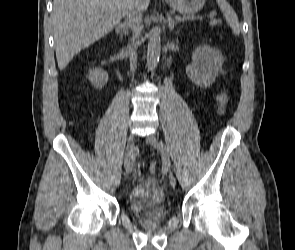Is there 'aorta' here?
<instances>
[{"mask_svg":"<svg viewBox=\"0 0 295 250\" xmlns=\"http://www.w3.org/2000/svg\"><path fill=\"white\" fill-rule=\"evenodd\" d=\"M161 53V36L160 30L153 27L149 33L148 47H147V67L153 70L160 58Z\"/></svg>","mask_w":295,"mask_h":250,"instance_id":"aorta-1","label":"aorta"}]
</instances>
